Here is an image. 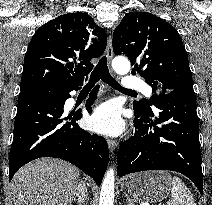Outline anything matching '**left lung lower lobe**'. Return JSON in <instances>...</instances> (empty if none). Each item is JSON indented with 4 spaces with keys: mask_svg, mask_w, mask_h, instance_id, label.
<instances>
[{
    "mask_svg": "<svg viewBox=\"0 0 212 205\" xmlns=\"http://www.w3.org/2000/svg\"><path fill=\"white\" fill-rule=\"evenodd\" d=\"M156 83V82H155ZM155 84H150L152 87ZM153 113L134 107L135 133L118 150L117 175L172 170L190 178L200 193L203 175L194 90H167Z\"/></svg>",
    "mask_w": 212,
    "mask_h": 205,
    "instance_id": "1",
    "label": "left lung lower lobe"
}]
</instances>
